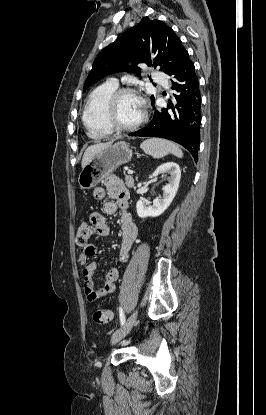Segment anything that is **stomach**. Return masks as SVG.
I'll list each match as a JSON object with an SVG mask.
<instances>
[{
    "label": "stomach",
    "mask_w": 266,
    "mask_h": 415,
    "mask_svg": "<svg viewBox=\"0 0 266 415\" xmlns=\"http://www.w3.org/2000/svg\"><path fill=\"white\" fill-rule=\"evenodd\" d=\"M132 150L124 141H119L101 150L86 165L78 176L81 189L88 190L112 174L120 165L131 160Z\"/></svg>",
    "instance_id": "0dacf381"
}]
</instances>
